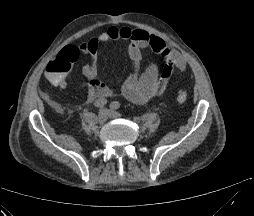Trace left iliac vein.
I'll use <instances>...</instances> for the list:
<instances>
[{"label":"left iliac vein","mask_w":254,"mask_h":216,"mask_svg":"<svg viewBox=\"0 0 254 216\" xmlns=\"http://www.w3.org/2000/svg\"><path fill=\"white\" fill-rule=\"evenodd\" d=\"M108 116H109L110 118H117V117L120 116V114H119L118 112H115V111H109V112H108Z\"/></svg>","instance_id":"obj_1"}]
</instances>
